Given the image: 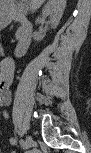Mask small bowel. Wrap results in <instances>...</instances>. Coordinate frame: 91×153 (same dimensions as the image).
<instances>
[{
    "label": "small bowel",
    "instance_id": "small-bowel-1",
    "mask_svg": "<svg viewBox=\"0 0 91 153\" xmlns=\"http://www.w3.org/2000/svg\"><path fill=\"white\" fill-rule=\"evenodd\" d=\"M0 69V103L6 106L9 105L11 101L10 86L13 81L14 67L8 59H3L0 64ZM9 143L11 145H16V138L10 137Z\"/></svg>",
    "mask_w": 91,
    "mask_h": 153
}]
</instances>
